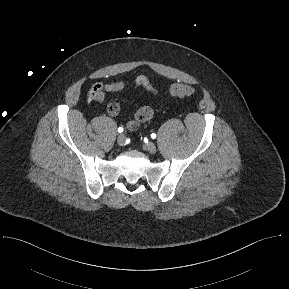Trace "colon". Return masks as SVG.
Returning a JSON list of instances; mask_svg holds the SVG:
<instances>
[{
	"label": "colon",
	"instance_id": "obj_1",
	"mask_svg": "<svg viewBox=\"0 0 289 289\" xmlns=\"http://www.w3.org/2000/svg\"><path fill=\"white\" fill-rule=\"evenodd\" d=\"M101 90H102L101 85H95L90 91V96L92 98H97ZM194 92L195 89L191 85L187 84H175L170 89V94L173 97L179 98L191 96L194 94Z\"/></svg>",
	"mask_w": 289,
	"mask_h": 289
}]
</instances>
